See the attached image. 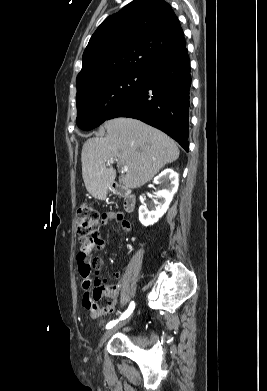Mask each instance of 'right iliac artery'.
Returning <instances> with one entry per match:
<instances>
[{"instance_id":"1","label":"right iliac artery","mask_w":267,"mask_h":391,"mask_svg":"<svg viewBox=\"0 0 267 391\" xmlns=\"http://www.w3.org/2000/svg\"><path fill=\"white\" fill-rule=\"evenodd\" d=\"M134 307H135V303L132 301L128 307V309L121 315V317L119 318V320H123V319H126L134 310ZM119 320H115V321H111L107 324L106 328L107 329H110L112 328L115 324H117L119 322Z\"/></svg>"}]
</instances>
